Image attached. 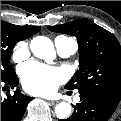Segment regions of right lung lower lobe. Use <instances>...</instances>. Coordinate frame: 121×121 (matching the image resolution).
<instances>
[{
  "mask_svg": "<svg viewBox=\"0 0 121 121\" xmlns=\"http://www.w3.org/2000/svg\"><path fill=\"white\" fill-rule=\"evenodd\" d=\"M1 81L5 85L11 86V88L17 86L19 83L15 71L8 74ZM32 99V97L23 95L19 89L14 92L13 96L8 95L7 98H1V121H20L28 103Z\"/></svg>",
  "mask_w": 121,
  "mask_h": 121,
  "instance_id": "98d812e1",
  "label": "right lung lower lobe"
}]
</instances>
